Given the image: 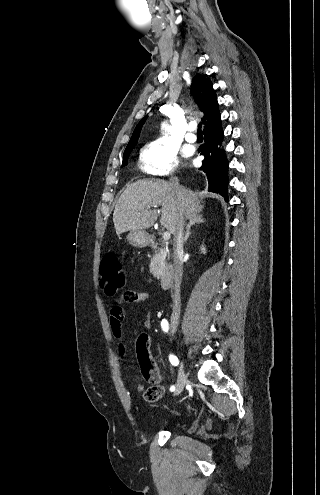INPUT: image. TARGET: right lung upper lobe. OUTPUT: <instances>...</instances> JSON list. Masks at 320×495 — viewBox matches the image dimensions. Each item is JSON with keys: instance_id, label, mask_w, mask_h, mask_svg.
I'll list each match as a JSON object with an SVG mask.
<instances>
[{"instance_id": "obj_1", "label": "right lung upper lobe", "mask_w": 320, "mask_h": 495, "mask_svg": "<svg viewBox=\"0 0 320 495\" xmlns=\"http://www.w3.org/2000/svg\"><path fill=\"white\" fill-rule=\"evenodd\" d=\"M191 94L195 97V101L200 110L204 113L202 122L204 129L211 127L221 121L219 104L217 96L213 89V84L207 75L196 74L191 83ZM147 116L144 117L136 126L132 137L125 150L134 148L140 136L141 128L145 123Z\"/></svg>"}]
</instances>
